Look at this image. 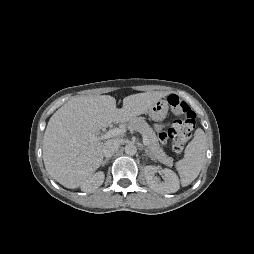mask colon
Listing matches in <instances>:
<instances>
[{
    "label": "colon",
    "mask_w": 254,
    "mask_h": 254,
    "mask_svg": "<svg viewBox=\"0 0 254 254\" xmlns=\"http://www.w3.org/2000/svg\"><path fill=\"white\" fill-rule=\"evenodd\" d=\"M168 103L171 110L180 117L171 124L167 131L161 133L160 137L168 140L173 150L180 153L192 136L196 115L186 102L175 95L168 97Z\"/></svg>",
    "instance_id": "obj_1"
}]
</instances>
